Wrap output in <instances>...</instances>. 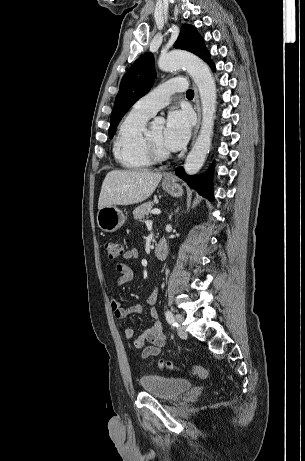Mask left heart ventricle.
I'll use <instances>...</instances> for the list:
<instances>
[{"label": "left heart ventricle", "instance_id": "obj_1", "mask_svg": "<svg viewBox=\"0 0 305 461\" xmlns=\"http://www.w3.org/2000/svg\"><path fill=\"white\" fill-rule=\"evenodd\" d=\"M163 127L162 126H155L150 128L149 133L153 143L157 146L158 149L167 151L163 144Z\"/></svg>", "mask_w": 305, "mask_h": 461}]
</instances>
